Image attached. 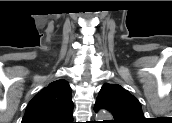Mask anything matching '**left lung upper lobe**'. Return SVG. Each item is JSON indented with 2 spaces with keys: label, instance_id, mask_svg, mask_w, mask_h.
<instances>
[{
  "label": "left lung upper lobe",
  "instance_id": "obj_1",
  "mask_svg": "<svg viewBox=\"0 0 172 123\" xmlns=\"http://www.w3.org/2000/svg\"><path fill=\"white\" fill-rule=\"evenodd\" d=\"M108 110L114 120L112 123H143L145 121L141 104L136 97L118 84L105 83L94 105L97 112Z\"/></svg>",
  "mask_w": 172,
  "mask_h": 123
}]
</instances>
